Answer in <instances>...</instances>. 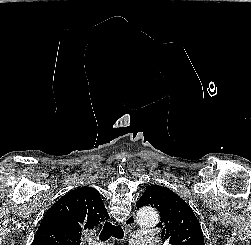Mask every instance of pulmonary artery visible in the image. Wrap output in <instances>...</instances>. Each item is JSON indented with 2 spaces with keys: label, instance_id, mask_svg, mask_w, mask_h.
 <instances>
[{
  "label": "pulmonary artery",
  "instance_id": "e3ab8cb5",
  "mask_svg": "<svg viewBox=\"0 0 251 245\" xmlns=\"http://www.w3.org/2000/svg\"><path fill=\"white\" fill-rule=\"evenodd\" d=\"M152 237L144 232H132L130 242L132 245H152L151 242ZM100 245H104L103 243H100Z\"/></svg>",
  "mask_w": 251,
  "mask_h": 245
}]
</instances>
